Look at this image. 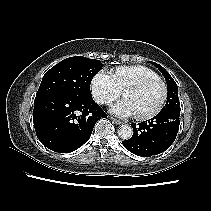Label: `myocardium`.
Here are the masks:
<instances>
[{
	"label": "myocardium",
	"instance_id": "myocardium-1",
	"mask_svg": "<svg viewBox=\"0 0 211 211\" xmlns=\"http://www.w3.org/2000/svg\"><path fill=\"white\" fill-rule=\"evenodd\" d=\"M153 83H159L163 88V95H162L161 101L158 104V106L152 112L147 113V114H142V115L135 114V118L137 120H140V121L150 120V119L156 117L163 110V108L166 104V101L168 99L167 84L160 77L146 78V79L137 81V82L129 85L123 91V95H125V93L128 92V91L141 90V89H143V88H145V87H147V86H149L150 84H153Z\"/></svg>",
	"mask_w": 211,
	"mask_h": 211
}]
</instances>
